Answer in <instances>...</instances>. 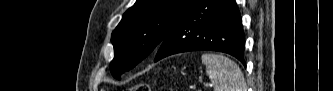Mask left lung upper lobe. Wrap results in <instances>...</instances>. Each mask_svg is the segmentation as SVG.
<instances>
[{
  "mask_svg": "<svg viewBox=\"0 0 333 91\" xmlns=\"http://www.w3.org/2000/svg\"><path fill=\"white\" fill-rule=\"evenodd\" d=\"M198 0H137L112 33L111 74L120 79L154 52Z\"/></svg>",
  "mask_w": 333,
  "mask_h": 91,
  "instance_id": "1",
  "label": "left lung upper lobe"
}]
</instances>
